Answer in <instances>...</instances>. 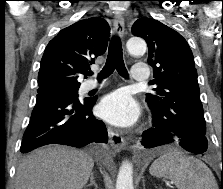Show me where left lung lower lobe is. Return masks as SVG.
<instances>
[{"mask_svg":"<svg viewBox=\"0 0 223 189\" xmlns=\"http://www.w3.org/2000/svg\"><path fill=\"white\" fill-rule=\"evenodd\" d=\"M153 126L142 135V145L145 148H154L172 142L179 143L185 150L202 154L207 151L208 143L205 135L191 131L166 130L159 119L153 114Z\"/></svg>","mask_w":223,"mask_h":189,"instance_id":"1","label":"left lung lower lobe"}]
</instances>
